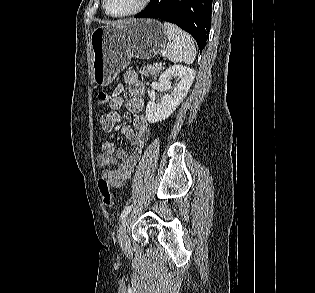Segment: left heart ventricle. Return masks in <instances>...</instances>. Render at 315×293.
<instances>
[{
    "instance_id": "b2bd125f",
    "label": "left heart ventricle",
    "mask_w": 315,
    "mask_h": 293,
    "mask_svg": "<svg viewBox=\"0 0 315 293\" xmlns=\"http://www.w3.org/2000/svg\"><path fill=\"white\" fill-rule=\"evenodd\" d=\"M141 0H107L108 10L113 14H124L135 9Z\"/></svg>"
}]
</instances>
